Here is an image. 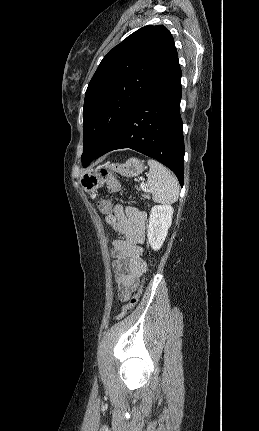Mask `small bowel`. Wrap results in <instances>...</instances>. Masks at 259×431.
Instances as JSON below:
<instances>
[{
  "label": "small bowel",
  "instance_id": "small-bowel-1",
  "mask_svg": "<svg viewBox=\"0 0 259 431\" xmlns=\"http://www.w3.org/2000/svg\"><path fill=\"white\" fill-rule=\"evenodd\" d=\"M106 222L122 236L114 239L111 245L117 295L121 301H127L137 279L146 269L142 247L146 213L135 207L116 204L107 213Z\"/></svg>",
  "mask_w": 259,
  "mask_h": 431
}]
</instances>
